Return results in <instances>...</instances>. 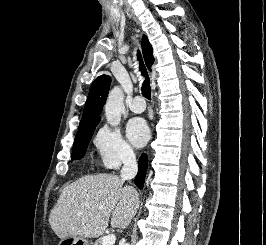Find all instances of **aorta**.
Listing matches in <instances>:
<instances>
[{
    "instance_id": "1",
    "label": "aorta",
    "mask_w": 266,
    "mask_h": 245,
    "mask_svg": "<svg viewBox=\"0 0 266 245\" xmlns=\"http://www.w3.org/2000/svg\"><path fill=\"white\" fill-rule=\"evenodd\" d=\"M104 108L107 123H109L111 127L120 125L122 110L125 108L124 94L120 86H114V88L110 90Z\"/></svg>"
}]
</instances>
